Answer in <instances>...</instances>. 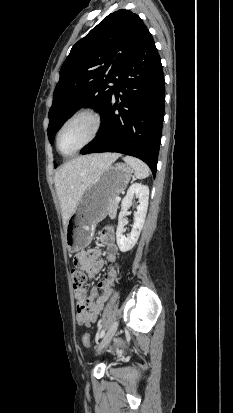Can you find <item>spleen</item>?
Segmentation results:
<instances>
[{
	"mask_svg": "<svg viewBox=\"0 0 233 413\" xmlns=\"http://www.w3.org/2000/svg\"><path fill=\"white\" fill-rule=\"evenodd\" d=\"M123 160L133 168L136 178L144 179L149 176L150 169L143 161L131 156H125Z\"/></svg>",
	"mask_w": 233,
	"mask_h": 413,
	"instance_id": "obj_1",
	"label": "spleen"
}]
</instances>
